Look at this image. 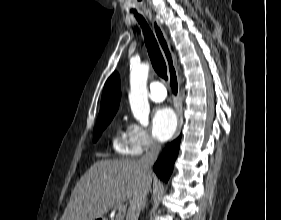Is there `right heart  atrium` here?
<instances>
[{"label": "right heart atrium", "mask_w": 281, "mask_h": 220, "mask_svg": "<svg viewBox=\"0 0 281 220\" xmlns=\"http://www.w3.org/2000/svg\"><path fill=\"white\" fill-rule=\"evenodd\" d=\"M129 140L136 153L155 149L158 144L144 127L132 124L128 128Z\"/></svg>", "instance_id": "obj_1"}]
</instances>
